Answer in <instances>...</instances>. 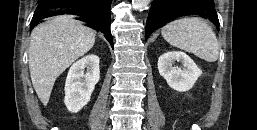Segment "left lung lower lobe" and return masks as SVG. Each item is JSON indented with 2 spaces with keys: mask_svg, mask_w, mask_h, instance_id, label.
<instances>
[{
  "mask_svg": "<svg viewBox=\"0 0 257 130\" xmlns=\"http://www.w3.org/2000/svg\"><path fill=\"white\" fill-rule=\"evenodd\" d=\"M199 15L211 20L219 30V20L213 0H154L147 18L145 38L167 24L182 16Z\"/></svg>",
  "mask_w": 257,
  "mask_h": 130,
  "instance_id": "0a47b994",
  "label": "left lung lower lobe"
}]
</instances>
